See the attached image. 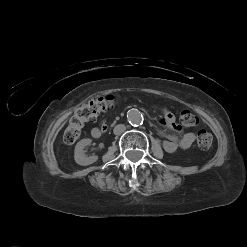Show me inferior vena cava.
Returning a JSON list of instances; mask_svg holds the SVG:
<instances>
[{
  "mask_svg": "<svg viewBox=\"0 0 247 247\" xmlns=\"http://www.w3.org/2000/svg\"><path fill=\"white\" fill-rule=\"evenodd\" d=\"M126 131V126L123 124H118L114 127L113 133L115 135H121L122 133H124Z\"/></svg>",
  "mask_w": 247,
  "mask_h": 247,
  "instance_id": "602c4592",
  "label": "inferior vena cava"
}]
</instances>
